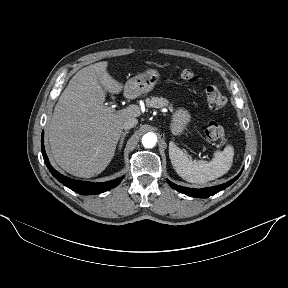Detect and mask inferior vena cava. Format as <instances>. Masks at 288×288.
<instances>
[{"mask_svg":"<svg viewBox=\"0 0 288 288\" xmlns=\"http://www.w3.org/2000/svg\"><path fill=\"white\" fill-rule=\"evenodd\" d=\"M138 124V120L134 117L128 118L123 123V129L128 130L132 129Z\"/></svg>","mask_w":288,"mask_h":288,"instance_id":"1","label":"inferior vena cava"}]
</instances>
